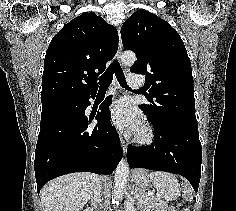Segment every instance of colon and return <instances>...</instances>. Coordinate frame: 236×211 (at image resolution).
<instances>
[{
	"mask_svg": "<svg viewBox=\"0 0 236 211\" xmlns=\"http://www.w3.org/2000/svg\"><path fill=\"white\" fill-rule=\"evenodd\" d=\"M182 188H183V191H184L185 199L189 200L191 196H190V193L188 192V190L186 189L184 184H182Z\"/></svg>",
	"mask_w": 236,
	"mask_h": 211,
	"instance_id": "5ec220e1",
	"label": "colon"
}]
</instances>
